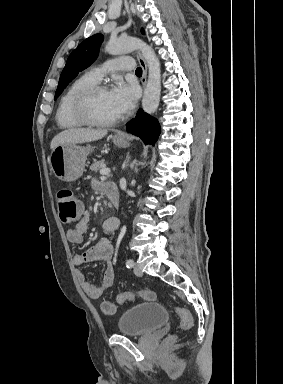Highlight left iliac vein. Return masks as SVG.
<instances>
[{
    "label": "left iliac vein",
    "mask_w": 283,
    "mask_h": 384,
    "mask_svg": "<svg viewBox=\"0 0 283 384\" xmlns=\"http://www.w3.org/2000/svg\"><path fill=\"white\" fill-rule=\"evenodd\" d=\"M134 274L136 276H142V274H143L140 266L137 264H135V266H134Z\"/></svg>",
    "instance_id": "left-iliac-vein-1"
}]
</instances>
